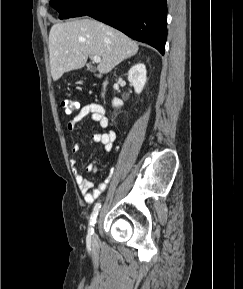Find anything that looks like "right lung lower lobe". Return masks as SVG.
<instances>
[{
  "label": "right lung lower lobe",
  "mask_w": 243,
  "mask_h": 289,
  "mask_svg": "<svg viewBox=\"0 0 243 289\" xmlns=\"http://www.w3.org/2000/svg\"><path fill=\"white\" fill-rule=\"evenodd\" d=\"M90 16L145 42L164 54L166 0H88L71 17Z\"/></svg>",
  "instance_id": "98d812e1"
}]
</instances>
